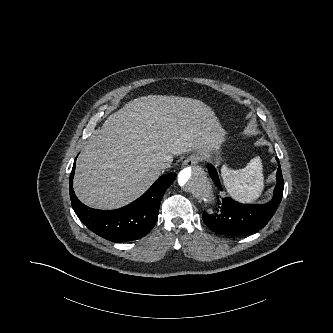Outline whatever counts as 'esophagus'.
Returning a JSON list of instances; mask_svg holds the SVG:
<instances>
[{
    "label": "esophagus",
    "mask_w": 333,
    "mask_h": 333,
    "mask_svg": "<svg viewBox=\"0 0 333 333\" xmlns=\"http://www.w3.org/2000/svg\"><path fill=\"white\" fill-rule=\"evenodd\" d=\"M199 161H200V155L198 153H193L185 159L184 165L192 166L197 164Z\"/></svg>",
    "instance_id": "esophagus-1"
}]
</instances>
